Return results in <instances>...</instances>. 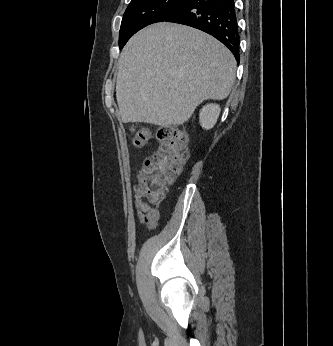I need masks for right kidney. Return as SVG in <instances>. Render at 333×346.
Masks as SVG:
<instances>
[{
  "label": "right kidney",
  "mask_w": 333,
  "mask_h": 346,
  "mask_svg": "<svg viewBox=\"0 0 333 346\" xmlns=\"http://www.w3.org/2000/svg\"><path fill=\"white\" fill-rule=\"evenodd\" d=\"M220 107L217 104H207L204 106L199 115L202 128L209 130L214 127L220 114Z\"/></svg>",
  "instance_id": "right-kidney-1"
}]
</instances>
